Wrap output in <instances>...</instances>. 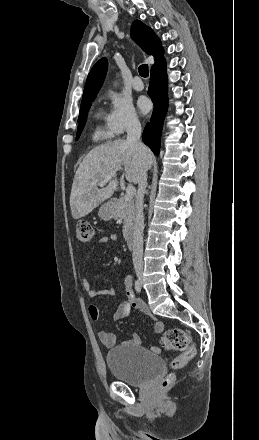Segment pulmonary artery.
Segmentation results:
<instances>
[{"mask_svg":"<svg viewBox=\"0 0 259 440\" xmlns=\"http://www.w3.org/2000/svg\"><path fill=\"white\" fill-rule=\"evenodd\" d=\"M133 88L136 91H142L144 88V84L139 76H136L133 80Z\"/></svg>","mask_w":259,"mask_h":440,"instance_id":"pulmonary-artery-1","label":"pulmonary artery"}]
</instances>
